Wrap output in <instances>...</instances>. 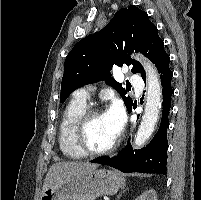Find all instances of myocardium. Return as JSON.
<instances>
[{
	"label": "myocardium",
	"instance_id": "f54148a6",
	"mask_svg": "<svg viewBox=\"0 0 201 200\" xmlns=\"http://www.w3.org/2000/svg\"><path fill=\"white\" fill-rule=\"evenodd\" d=\"M103 113H104L103 109L99 107H87L76 121V124L74 126V131H73L74 144L77 147V149L81 153H83L85 156H98V155L108 154L114 151L116 147L118 146L117 138L109 146L103 149L95 150V149L89 148L86 145L85 130H86L87 124L89 123L91 118Z\"/></svg>",
	"mask_w": 201,
	"mask_h": 200
}]
</instances>
